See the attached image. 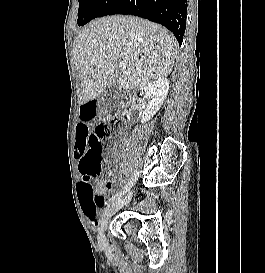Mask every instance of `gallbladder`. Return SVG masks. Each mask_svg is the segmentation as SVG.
Segmentation results:
<instances>
[{
  "label": "gallbladder",
  "mask_w": 265,
  "mask_h": 273,
  "mask_svg": "<svg viewBox=\"0 0 265 273\" xmlns=\"http://www.w3.org/2000/svg\"><path fill=\"white\" fill-rule=\"evenodd\" d=\"M120 91L116 83L110 86L103 96L102 102L103 107L111 109L114 108L117 102L119 101Z\"/></svg>",
  "instance_id": "gallbladder-1"
}]
</instances>
